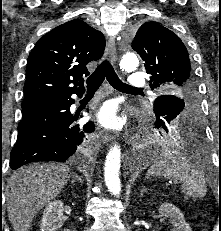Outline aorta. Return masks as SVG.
Returning <instances> with one entry per match:
<instances>
[{"label":"aorta","mask_w":221,"mask_h":231,"mask_svg":"<svg viewBox=\"0 0 221 231\" xmlns=\"http://www.w3.org/2000/svg\"><path fill=\"white\" fill-rule=\"evenodd\" d=\"M138 65L139 60L131 51H126L120 60V68L126 72L135 71ZM120 165L121 149L119 145L115 144L106 156L104 167L106 186L114 196H119L121 192V182L119 179Z\"/></svg>","instance_id":"aorta-1"}]
</instances>
